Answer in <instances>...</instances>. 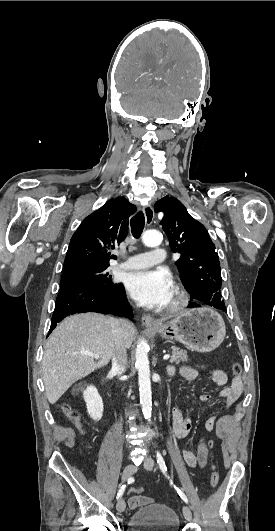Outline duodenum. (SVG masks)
Segmentation results:
<instances>
[{
    "mask_svg": "<svg viewBox=\"0 0 275 531\" xmlns=\"http://www.w3.org/2000/svg\"><path fill=\"white\" fill-rule=\"evenodd\" d=\"M100 381L104 384L108 396H109L110 398H112V390H111L109 384L107 383L105 377H104V376H101V377H100Z\"/></svg>",
    "mask_w": 275,
    "mask_h": 531,
    "instance_id": "obj_1",
    "label": "duodenum"
}]
</instances>
